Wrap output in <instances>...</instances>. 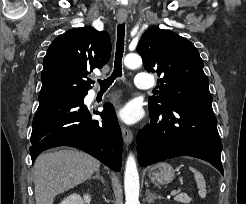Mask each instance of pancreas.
Instances as JSON below:
<instances>
[{
  "label": "pancreas",
  "mask_w": 246,
  "mask_h": 204,
  "mask_svg": "<svg viewBox=\"0 0 246 204\" xmlns=\"http://www.w3.org/2000/svg\"><path fill=\"white\" fill-rule=\"evenodd\" d=\"M175 200L181 203H189L191 198L187 194L181 193L175 197Z\"/></svg>",
  "instance_id": "cf45deb5"
}]
</instances>
